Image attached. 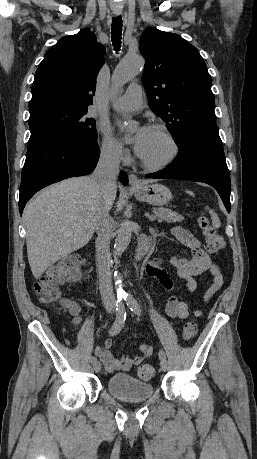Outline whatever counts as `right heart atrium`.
<instances>
[{
    "mask_svg": "<svg viewBox=\"0 0 257 459\" xmlns=\"http://www.w3.org/2000/svg\"><path fill=\"white\" fill-rule=\"evenodd\" d=\"M101 155L107 161L119 163L127 161L129 157L128 150L106 129L101 128Z\"/></svg>",
    "mask_w": 257,
    "mask_h": 459,
    "instance_id": "d8ad5b80",
    "label": "right heart atrium"
}]
</instances>
